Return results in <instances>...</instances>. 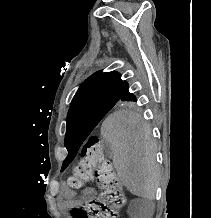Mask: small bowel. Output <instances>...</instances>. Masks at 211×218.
I'll list each match as a JSON object with an SVG mask.
<instances>
[{
	"label": "small bowel",
	"mask_w": 211,
	"mask_h": 218,
	"mask_svg": "<svg viewBox=\"0 0 211 218\" xmlns=\"http://www.w3.org/2000/svg\"><path fill=\"white\" fill-rule=\"evenodd\" d=\"M92 193L93 192L91 190H86L82 196V199L78 200L76 197V193L68 186L63 185L61 188L59 199L61 200V203L65 208H73L76 207L78 204L89 200L92 196Z\"/></svg>",
	"instance_id": "1"
}]
</instances>
